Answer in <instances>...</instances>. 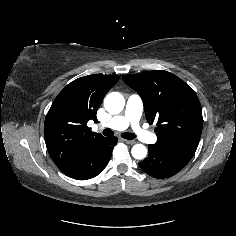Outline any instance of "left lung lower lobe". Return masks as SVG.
<instances>
[{"label":"left lung lower lobe","mask_w":236,"mask_h":236,"mask_svg":"<svg viewBox=\"0 0 236 236\" xmlns=\"http://www.w3.org/2000/svg\"><path fill=\"white\" fill-rule=\"evenodd\" d=\"M197 148L149 145L148 157L139 163L148 175L167 178L177 174L191 160Z\"/></svg>","instance_id":"obj_1"}]
</instances>
